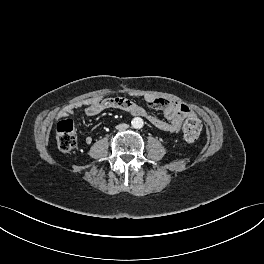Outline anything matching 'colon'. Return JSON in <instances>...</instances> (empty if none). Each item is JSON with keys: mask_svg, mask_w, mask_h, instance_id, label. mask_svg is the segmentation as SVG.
<instances>
[{"mask_svg": "<svg viewBox=\"0 0 264 264\" xmlns=\"http://www.w3.org/2000/svg\"><path fill=\"white\" fill-rule=\"evenodd\" d=\"M202 125L195 117L187 118L182 124L183 136L187 141H195L201 132ZM58 148L64 153H70L76 146V131L71 118H63L56 125Z\"/></svg>", "mask_w": 264, "mask_h": 264, "instance_id": "1", "label": "colon"}]
</instances>
